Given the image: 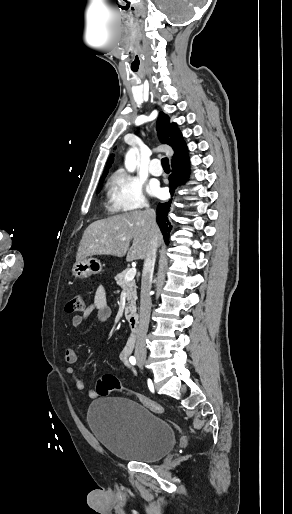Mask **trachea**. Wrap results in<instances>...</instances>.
I'll return each mask as SVG.
<instances>
[{"mask_svg": "<svg viewBox=\"0 0 292 514\" xmlns=\"http://www.w3.org/2000/svg\"><path fill=\"white\" fill-rule=\"evenodd\" d=\"M161 164L164 170H170L169 160L167 157L161 159Z\"/></svg>", "mask_w": 292, "mask_h": 514, "instance_id": "3493384b", "label": "trachea"}]
</instances>
